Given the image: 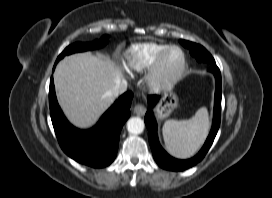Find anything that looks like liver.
<instances>
[{
	"label": "liver",
	"instance_id": "liver-1",
	"mask_svg": "<svg viewBox=\"0 0 272 198\" xmlns=\"http://www.w3.org/2000/svg\"><path fill=\"white\" fill-rule=\"evenodd\" d=\"M123 73L102 55L78 53L65 57L57 66L54 82L59 104L68 120L79 128L93 126L114 102L107 95Z\"/></svg>",
	"mask_w": 272,
	"mask_h": 198
}]
</instances>
